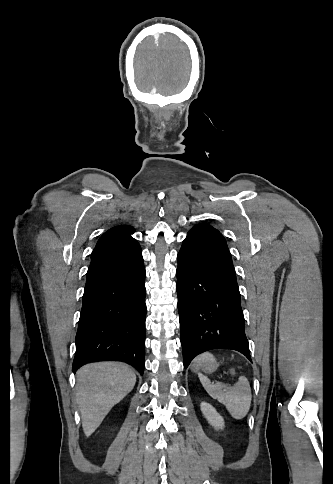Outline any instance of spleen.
<instances>
[{"label": "spleen", "instance_id": "spleen-1", "mask_svg": "<svg viewBox=\"0 0 333 484\" xmlns=\"http://www.w3.org/2000/svg\"><path fill=\"white\" fill-rule=\"evenodd\" d=\"M199 379L210 397L223 404L234 419H243L247 415L251 406L252 395L246 377L240 376L233 387L220 382L211 383L208 377L201 373Z\"/></svg>", "mask_w": 333, "mask_h": 484}]
</instances>
